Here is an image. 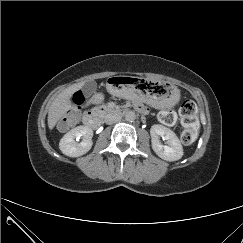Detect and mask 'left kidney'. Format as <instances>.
<instances>
[{"instance_id":"obj_1","label":"left kidney","mask_w":243,"mask_h":243,"mask_svg":"<svg viewBox=\"0 0 243 243\" xmlns=\"http://www.w3.org/2000/svg\"><path fill=\"white\" fill-rule=\"evenodd\" d=\"M153 151L163 160L177 161L183 156V148L176 134L163 125H153L150 129ZM159 136L167 140V145H162Z\"/></svg>"}]
</instances>
